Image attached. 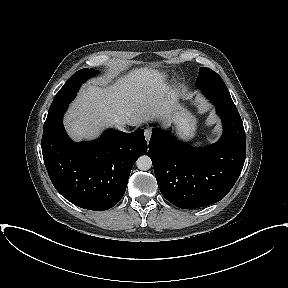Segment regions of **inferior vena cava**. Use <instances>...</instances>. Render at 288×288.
Returning a JSON list of instances; mask_svg holds the SVG:
<instances>
[{"mask_svg": "<svg viewBox=\"0 0 288 288\" xmlns=\"http://www.w3.org/2000/svg\"><path fill=\"white\" fill-rule=\"evenodd\" d=\"M116 127H117L118 130L126 131L125 128H124V125L116 124Z\"/></svg>", "mask_w": 288, "mask_h": 288, "instance_id": "1", "label": "inferior vena cava"}]
</instances>
